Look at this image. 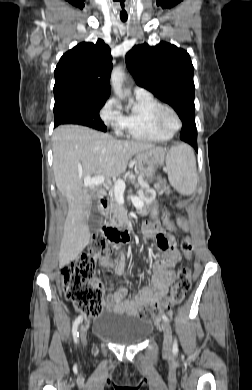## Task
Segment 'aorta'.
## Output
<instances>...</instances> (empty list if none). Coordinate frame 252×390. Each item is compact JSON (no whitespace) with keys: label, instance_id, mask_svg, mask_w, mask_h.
<instances>
[{"label":"aorta","instance_id":"762f6f07","mask_svg":"<svg viewBox=\"0 0 252 390\" xmlns=\"http://www.w3.org/2000/svg\"><path fill=\"white\" fill-rule=\"evenodd\" d=\"M123 81H124V72L122 70V67L118 66L114 68L112 71L111 86L114 93L120 98H123V92H122Z\"/></svg>","mask_w":252,"mask_h":390}]
</instances>
